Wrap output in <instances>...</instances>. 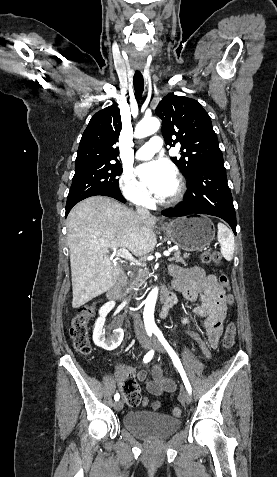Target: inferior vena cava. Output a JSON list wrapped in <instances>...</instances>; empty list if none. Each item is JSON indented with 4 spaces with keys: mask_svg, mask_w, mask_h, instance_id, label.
<instances>
[{
    "mask_svg": "<svg viewBox=\"0 0 277 477\" xmlns=\"http://www.w3.org/2000/svg\"><path fill=\"white\" fill-rule=\"evenodd\" d=\"M136 213L142 217L150 216V212L146 208L141 206L136 207ZM134 331H135L136 337L140 341L146 338L145 327L139 315H136L134 319Z\"/></svg>",
    "mask_w": 277,
    "mask_h": 477,
    "instance_id": "602c4592",
    "label": "inferior vena cava"
}]
</instances>
